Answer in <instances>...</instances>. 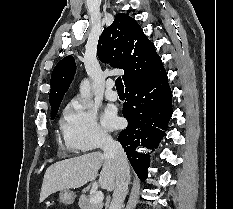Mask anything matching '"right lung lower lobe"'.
<instances>
[{
	"label": "right lung lower lobe",
	"mask_w": 233,
	"mask_h": 209,
	"mask_svg": "<svg viewBox=\"0 0 233 209\" xmlns=\"http://www.w3.org/2000/svg\"><path fill=\"white\" fill-rule=\"evenodd\" d=\"M125 92L127 102L123 105V116L128 126L121 131L118 141L138 177L145 180L149 155L136 152V147L157 148L173 113L172 93L163 64L149 77L126 88Z\"/></svg>",
	"instance_id": "1"
}]
</instances>
